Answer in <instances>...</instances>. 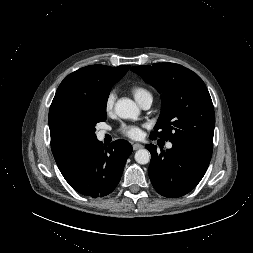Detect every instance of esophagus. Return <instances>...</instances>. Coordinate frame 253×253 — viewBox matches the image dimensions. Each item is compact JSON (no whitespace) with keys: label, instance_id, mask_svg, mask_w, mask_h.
Listing matches in <instances>:
<instances>
[{"label":"esophagus","instance_id":"1","mask_svg":"<svg viewBox=\"0 0 253 253\" xmlns=\"http://www.w3.org/2000/svg\"><path fill=\"white\" fill-rule=\"evenodd\" d=\"M141 148H143V146L141 144H139V143L133 144V150H139Z\"/></svg>","mask_w":253,"mask_h":253}]
</instances>
